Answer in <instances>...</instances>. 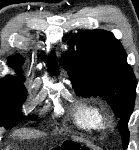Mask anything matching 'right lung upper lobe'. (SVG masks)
I'll use <instances>...</instances> for the list:
<instances>
[{"mask_svg": "<svg viewBox=\"0 0 139 150\" xmlns=\"http://www.w3.org/2000/svg\"><path fill=\"white\" fill-rule=\"evenodd\" d=\"M23 61L21 56L12 57L9 59L8 64L12 67L18 68V65ZM49 70L51 72L55 71L56 68V56L54 53L48 58Z\"/></svg>", "mask_w": 139, "mask_h": 150, "instance_id": "cb5924a9", "label": "right lung upper lobe"}]
</instances>
